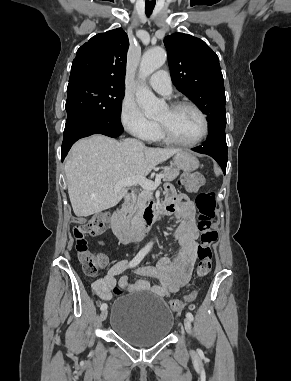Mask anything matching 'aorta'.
Here are the masks:
<instances>
[{"label":"aorta","mask_w":291,"mask_h":381,"mask_svg":"<svg viewBox=\"0 0 291 381\" xmlns=\"http://www.w3.org/2000/svg\"><path fill=\"white\" fill-rule=\"evenodd\" d=\"M166 61V52L161 47L148 50L142 56L139 74L145 80L154 71L159 69ZM136 101L147 118L156 117L164 107V102L159 100L145 85H141L136 91ZM152 242L148 244L151 248Z\"/></svg>","instance_id":"1"}]
</instances>
